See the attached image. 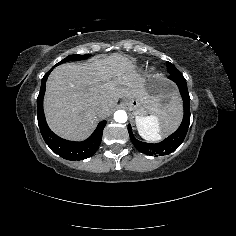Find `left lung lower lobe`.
I'll return each instance as SVG.
<instances>
[{
	"mask_svg": "<svg viewBox=\"0 0 236 236\" xmlns=\"http://www.w3.org/2000/svg\"><path fill=\"white\" fill-rule=\"evenodd\" d=\"M166 65L168 70L174 72L170 74L168 78L177 84L183 99L184 117L181 125L172 135L156 144L145 143L137 140L132 133L131 125H128L130 139L136 149L146 155L155 157L167 155L175 151L183 142L190 124V96L187 89V83L183 75L175 68L173 64L166 62Z\"/></svg>",
	"mask_w": 236,
	"mask_h": 236,
	"instance_id": "obj_1",
	"label": "left lung lower lobe"
}]
</instances>
